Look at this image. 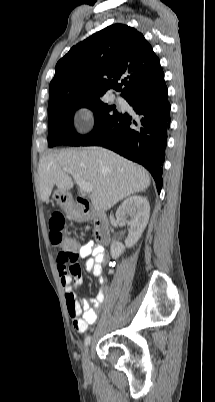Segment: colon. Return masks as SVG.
I'll return each instance as SVG.
<instances>
[{"mask_svg":"<svg viewBox=\"0 0 215 402\" xmlns=\"http://www.w3.org/2000/svg\"><path fill=\"white\" fill-rule=\"evenodd\" d=\"M50 226V240L52 244L55 246H60L61 250H64L59 253L58 259L63 263L68 264V270L74 271L78 269L77 259L78 255L75 250L80 249V242L77 238H72L69 235H62V229L64 226V217L60 213L54 214L49 222Z\"/></svg>","mask_w":215,"mask_h":402,"instance_id":"obj_1","label":"colon"}]
</instances>
